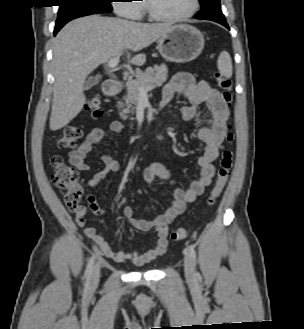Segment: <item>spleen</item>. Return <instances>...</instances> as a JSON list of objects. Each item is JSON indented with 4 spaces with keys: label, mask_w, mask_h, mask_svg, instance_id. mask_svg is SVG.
I'll return each instance as SVG.
<instances>
[{
    "label": "spleen",
    "mask_w": 304,
    "mask_h": 329,
    "mask_svg": "<svg viewBox=\"0 0 304 329\" xmlns=\"http://www.w3.org/2000/svg\"><path fill=\"white\" fill-rule=\"evenodd\" d=\"M217 66L220 73L224 77L230 78L232 76L233 73L232 60L228 52L226 51L221 52L217 61Z\"/></svg>",
    "instance_id": "3e777b00"
}]
</instances>
